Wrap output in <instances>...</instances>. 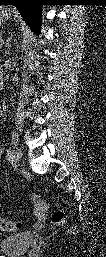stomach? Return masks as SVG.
<instances>
[{
	"label": "stomach",
	"instance_id": "1",
	"mask_svg": "<svg viewBox=\"0 0 106 257\" xmlns=\"http://www.w3.org/2000/svg\"><path fill=\"white\" fill-rule=\"evenodd\" d=\"M11 17V13L10 10L8 8H1V14H0V21L2 23H5L6 21H8Z\"/></svg>",
	"mask_w": 106,
	"mask_h": 257
}]
</instances>
